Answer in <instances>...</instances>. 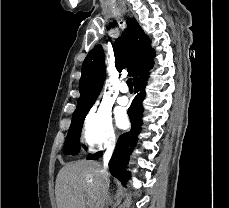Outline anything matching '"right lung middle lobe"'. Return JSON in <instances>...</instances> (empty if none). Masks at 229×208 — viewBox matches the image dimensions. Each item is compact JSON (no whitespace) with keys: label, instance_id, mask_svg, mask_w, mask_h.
<instances>
[{"label":"right lung middle lobe","instance_id":"obj_1","mask_svg":"<svg viewBox=\"0 0 229 208\" xmlns=\"http://www.w3.org/2000/svg\"><path fill=\"white\" fill-rule=\"evenodd\" d=\"M84 118L72 120L68 135L64 144V153L77 154L80 150V134Z\"/></svg>","mask_w":229,"mask_h":208}]
</instances>
